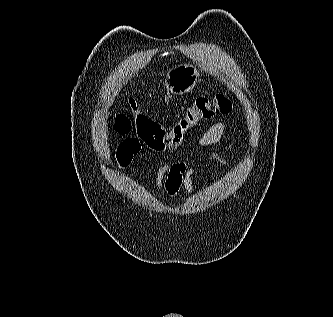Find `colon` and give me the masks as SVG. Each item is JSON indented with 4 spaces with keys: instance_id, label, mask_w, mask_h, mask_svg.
Here are the masks:
<instances>
[{
    "instance_id": "colon-1",
    "label": "colon",
    "mask_w": 333,
    "mask_h": 317,
    "mask_svg": "<svg viewBox=\"0 0 333 317\" xmlns=\"http://www.w3.org/2000/svg\"><path fill=\"white\" fill-rule=\"evenodd\" d=\"M131 110L139 139L155 152L166 153L178 149L189 130L199 123L229 114L232 103L223 94L211 97L198 96L187 107L184 115L170 128L163 127L135 103L131 105ZM114 128L121 134H128L132 130V120L125 115H118Z\"/></svg>"
}]
</instances>
